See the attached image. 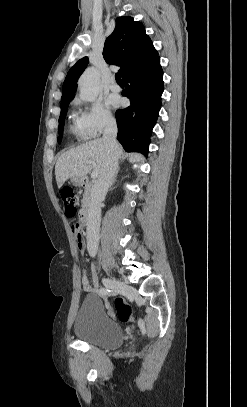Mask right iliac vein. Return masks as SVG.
<instances>
[{"instance_id":"right-iliac-vein-1","label":"right iliac vein","mask_w":247,"mask_h":407,"mask_svg":"<svg viewBox=\"0 0 247 407\" xmlns=\"http://www.w3.org/2000/svg\"><path fill=\"white\" fill-rule=\"evenodd\" d=\"M103 284L106 287L112 288L114 290L123 291V292H130L132 290L131 286L124 282H120L116 279L112 278H103Z\"/></svg>"}]
</instances>
